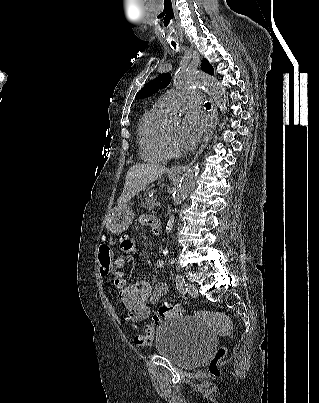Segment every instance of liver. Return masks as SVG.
<instances>
[{
	"mask_svg": "<svg viewBox=\"0 0 319 403\" xmlns=\"http://www.w3.org/2000/svg\"><path fill=\"white\" fill-rule=\"evenodd\" d=\"M166 171L165 166L156 164H136L127 172L123 192L118 206L126 204L148 184L157 180Z\"/></svg>",
	"mask_w": 319,
	"mask_h": 403,
	"instance_id": "obj_1",
	"label": "liver"
}]
</instances>
